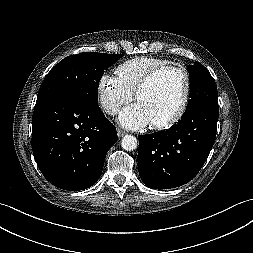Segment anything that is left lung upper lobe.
<instances>
[{"label":"left lung upper lobe","instance_id":"left-lung-upper-lobe-1","mask_svg":"<svg viewBox=\"0 0 253 253\" xmlns=\"http://www.w3.org/2000/svg\"><path fill=\"white\" fill-rule=\"evenodd\" d=\"M190 74V100L184 113L201 104L218 105L216 83L209 71L199 62L188 66Z\"/></svg>","mask_w":253,"mask_h":253}]
</instances>
